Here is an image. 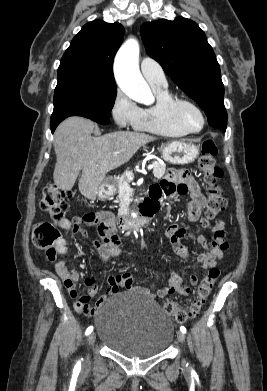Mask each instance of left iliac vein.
Segmentation results:
<instances>
[{
	"mask_svg": "<svg viewBox=\"0 0 267 391\" xmlns=\"http://www.w3.org/2000/svg\"><path fill=\"white\" fill-rule=\"evenodd\" d=\"M177 339L179 342L184 343L185 341V335L182 331L177 332Z\"/></svg>",
	"mask_w": 267,
	"mask_h": 391,
	"instance_id": "1",
	"label": "left iliac vein"
}]
</instances>
